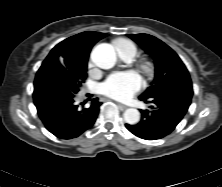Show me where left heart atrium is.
<instances>
[{
	"mask_svg": "<svg viewBox=\"0 0 222 187\" xmlns=\"http://www.w3.org/2000/svg\"><path fill=\"white\" fill-rule=\"evenodd\" d=\"M143 86L141 76L135 71L115 72L100 86L101 92L113 99L127 101Z\"/></svg>",
	"mask_w": 222,
	"mask_h": 187,
	"instance_id": "1",
	"label": "left heart atrium"
}]
</instances>
